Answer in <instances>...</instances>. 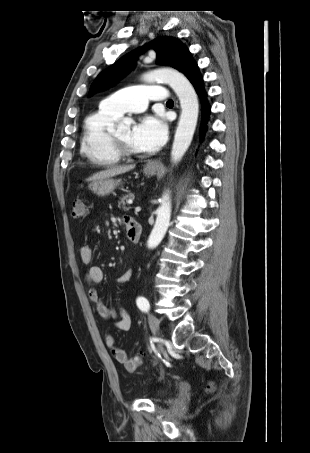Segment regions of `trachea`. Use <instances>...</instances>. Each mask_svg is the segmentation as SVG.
I'll use <instances>...</instances> for the list:
<instances>
[{
  "label": "trachea",
  "instance_id": "trachea-1",
  "mask_svg": "<svg viewBox=\"0 0 310 453\" xmlns=\"http://www.w3.org/2000/svg\"><path fill=\"white\" fill-rule=\"evenodd\" d=\"M166 105H173V100H172V99H169V100L166 102Z\"/></svg>",
  "mask_w": 310,
  "mask_h": 453
}]
</instances>
